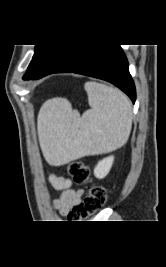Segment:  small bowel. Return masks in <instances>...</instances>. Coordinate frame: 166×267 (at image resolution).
<instances>
[{
    "instance_id": "small-bowel-1",
    "label": "small bowel",
    "mask_w": 166,
    "mask_h": 267,
    "mask_svg": "<svg viewBox=\"0 0 166 267\" xmlns=\"http://www.w3.org/2000/svg\"><path fill=\"white\" fill-rule=\"evenodd\" d=\"M49 181L54 188L62 191L55 203L60 213L68 212L74 205L80 202L82 191L71 188V181L68 178L49 174Z\"/></svg>"
}]
</instances>
